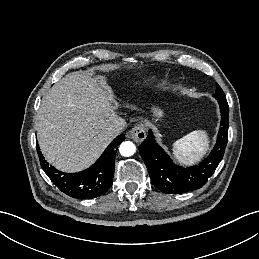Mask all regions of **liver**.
Returning <instances> with one entry per match:
<instances>
[{
    "instance_id": "6515ba94",
    "label": "liver",
    "mask_w": 259,
    "mask_h": 259,
    "mask_svg": "<svg viewBox=\"0 0 259 259\" xmlns=\"http://www.w3.org/2000/svg\"><path fill=\"white\" fill-rule=\"evenodd\" d=\"M119 103L101 77L72 72L43 97L35 121L46 160L64 172L92 165L115 137L109 126L125 120Z\"/></svg>"
}]
</instances>
